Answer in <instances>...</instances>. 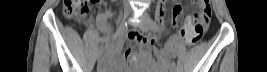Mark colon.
I'll list each match as a JSON object with an SVG mask.
<instances>
[{"label":"colon","mask_w":267,"mask_h":72,"mask_svg":"<svg viewBox=\"0 0 267 72\" xmlns=\"http://www.w3.org/2000/svg\"><path fill=\"white\" fill-rule=\"evenodd\" d=\"M98 0H65L64 14L68 19L82 20L90 13L91 5ZM209 0H194L196 7L195 21L184 24L180 21L174 22V26L180 31L188 44H196L202 38L204 31L208 28L211 17Z\"/></svg>","instance_id":"obj_1"}]
</instances>
